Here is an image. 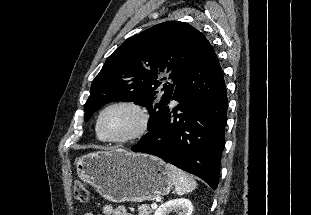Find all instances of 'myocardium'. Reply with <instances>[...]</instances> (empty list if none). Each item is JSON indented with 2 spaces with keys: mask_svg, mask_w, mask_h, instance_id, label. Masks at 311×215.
Returning a JSON list of instances; mask_svg holds the SVG:
<instances>
[{
  "mask_svg": "<svg viewBox=\"0 0 311 215\" xmlns=\"http://www.w3.org/2000/svg\"><path fill=\"white\" fill-rule=\"evenodd\" d=\"M118 106H125V107H129L135 110L140 117V124L133 133L127 136H123V137L106 136L102 130V118L109 109L113 107H118ZM149 122H150L149 113L144 106H142L138 102L131 101V100H118V101H114L106 105L100 111L97 121H96V129L100 137L103 139V141L117 143V144H126V143H131V142L141 139L148 131Z\"/></svg>",
  "mask_w": 311,
  "mask_h": 215,
  "instance_id": "myocardium-1",
  "label": "myocardium"
}]
</instances>
